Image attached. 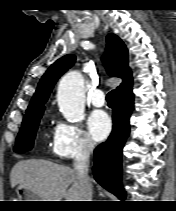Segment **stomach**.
<instances>
[{
    "mask_svg": "<svg viewBox=\"0 0 176 211\" xmlns=\"http://www.w3.org/2000/svg\"><path fill=\"white\" fill-rule=\"evenodd\" d=\"M16 194L20 199L18 201H43L34 191L22 184L17 186Z\"/></svg>",
    "mask_w": 176,
    "mask_h": 211,
    "instance_id": "1",
    "label": "stomach"
}]
</instances>
